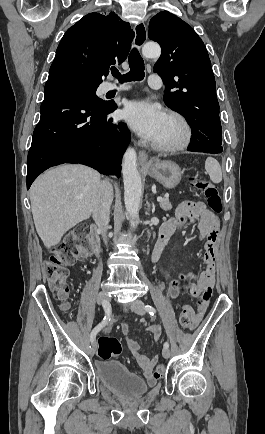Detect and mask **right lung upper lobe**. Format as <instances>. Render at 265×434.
<instances>
[{
    "instance_id": "right-lung-upper-lobe-1",
    "label": "right lung upper lobe",
    "mask_w": 265,
    "mask_h": 434,
    "mask_svg": "<svg viewBox=\"0 0 265 434\" xmlns=\"http://www.w3.org/2000/svg\"><path fill=\"white\" fill-rule=\"evenodd\" d=\"M135 36L114 12L85 15L62 37L49 76L75 75L102 82L110 65L122 63Z\"/></svg>"
}]
</instances>
